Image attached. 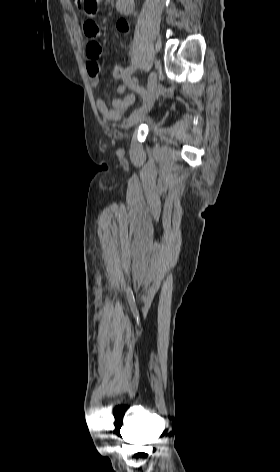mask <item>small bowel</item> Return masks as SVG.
Instances as JSON below:
<instances>
[{
	"label": "small bowel",
	"mask_w": 280,
	"mask_h": 472,
	"mask_svg": "<svg viewBox=\"0 0 280 472\" xmlns=\"http://www.w3.org/2000/svg\"><path fill=\"white\" fill-rule=\"evenodd\" d=\"M133 8L134 0L116 1V10L121 15V18L116 23V28L118 31L123 33L129 32V22L124 18V16L130 14L133 11ZM83 33L89 39L86 46L87 71L91 80V85L96 87L99 83V58L102 50L101 44L98 41L100 29L94 20L87 19L83 23ZM126 89L127 87L122 84L118 86L117 92L121 94L124 93ZM134 102L135 97L133 95H127L113 99L112 109H108L102 100L97 101V107L104 118H106L108 121L116 122L120 119L126 109H128Z\"/></svg>",
	"instance_id": "1"
}]
</instances>
